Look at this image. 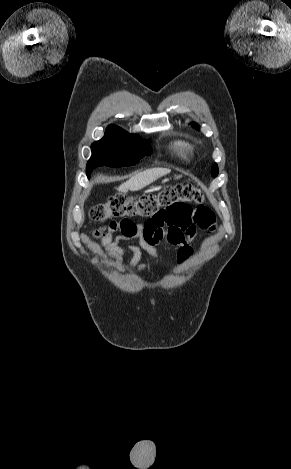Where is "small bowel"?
I'll return each mask as SVG.
<instances>
[{
	"instance_id": "obj_1",
	"label": "small bowel",
	"mask_w": 291,
	"mask_h": 469,
	"mask_svg": "<svg viewBox=\"0 0 291 469\" xmlns=\"http://www.w3.org/2000/svg\"><path fill=\"white\" fill-rule=\"evenodd\" d=\"M214 215L208 211L206 217L201 218L196 209L186 211H167L162 216L149 219L141 224L131 220L112 222L104 231H97L95 237L99 239L104 253L115 261L117 267L123 264V254L130 252L131 268L145 269L158 261L155 246L162 241L178 247V262H186L192 255L190 243L195 237L197 227L214 229ZM114 232L118 234L113 235ZM138 241V244H134ZM121 242L127 245L121 246ZM148 253L152 262L139 265L142 252Z\"/></svg>"
}]
</instances>
